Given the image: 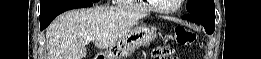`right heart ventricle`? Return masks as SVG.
Listing matches in <instances>:
<instances>
[{
  "label": "right heart ventricle",
  "mask_w": 261,
  "mask_h": 59,
  "mask_svg": "<svg viewBox=\"0 0 261 59\" xmlns=\"http://www.w3.org/2000/svg\"><path fill=\"white\" fill-rule=\"evenodd\" d=\"M118 3L125 5V6H133L135 5L133 0H117ZM140 10H148L147 8H139Z\"/></svg>",
  "instance_id": "right-heart-ventricle-1"
}]
</instances>
